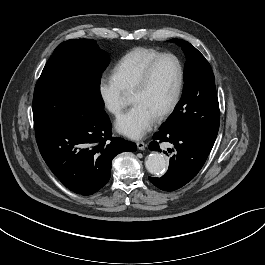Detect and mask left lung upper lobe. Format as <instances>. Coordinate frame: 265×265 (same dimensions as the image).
<instances>
[{
    "instance_id": "left-lung-upper-lobe-1",
    "label": "left lung upper lobe",
    "mask_w": 265,
    "mask_h": 265,
    "mask_svg": "<svg viewBox=\"0 0 265 265\" xmlns=\"http://www.w3.org/2000/svg\"><path fill=\"white\" fill-rule=\"evenodd\" d=\"M170 42L181 46L186 55L184 88L180 101L160 131L188 132L212 148L220 122L214 74L205 57L190 43L181 39Z\"/></svg>"
}]
</instances>
